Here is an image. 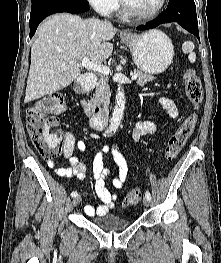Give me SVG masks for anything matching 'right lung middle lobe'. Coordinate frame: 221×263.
Returning <instances> with one entry per match:
<instances>
[{
  "label": "right lung middle lobe",
  "mask_w": 221,
  "mask_h": 263,
  "mask_svg": "<svg viewBox=\"0 0 221 263\" xmlns=\"http://www.w3.org/2000/svg\"><path fill=\"white\" fill-rule=\"evenodd\" d=\"M48 1H52V0H32V8Z\"/></svg>",
  "instance_id": "1"
}]
</instances>
